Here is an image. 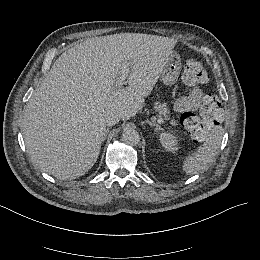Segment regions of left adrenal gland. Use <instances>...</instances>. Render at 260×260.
Returning <instances> with one entry per match:
<instances>
[{"mask_svg": "<svg viewBox=\"0 0 260 260\" xmlns=\"http://www.w3.org/2000/svg\"><path fill=\"white\" fill-rule=\"evenodd\" d=\"M149 125L155 126V132H158L159 130H163V128L159 124L152 123L149 121Z\"/></svg>", "mask_w": 260, "mask_h": 260, "instance_id": "a2214340", "label": "left adrenal gland"}]
</instances>
